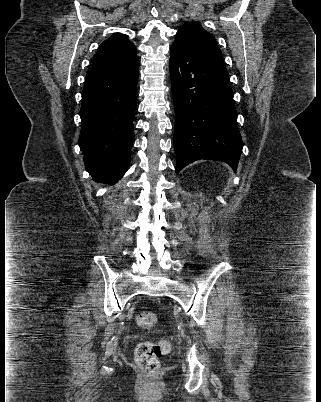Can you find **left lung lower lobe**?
Instances as JSON below:
<instances>
[{"instance_id":"0a47b994","label":"left lung lower lobe","mask_w":321,"mask_h":402,"mask_svg":"<svg viewBox=\"0 0 321 402\" xmlns=\"http://www.w3.org/2000/svg\"><path fill=\"white\" fill-rule=\"evenodd\" d=\"M169 65L176 174L199 159L224 161L236 170L243 142L223 59L173 44Z\"/></svg>"}]
</instances>
